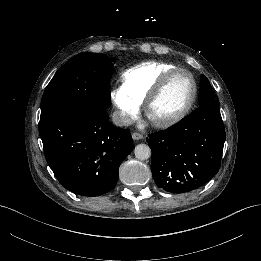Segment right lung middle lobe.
<instances>
[{
    "label": "right lung middle lobe",
    "instance_id": "right-lung-middle-lobe-1",
    "mask_svg": "<svg viewBox=\"0 0 261 261\" xmlns=\"http://www.w3.org/2000/svg\"><path fill=\"white\" fill-rule=\"evenodd\" d=\"M114 61V58L88 52L71 58L46 87L41 101V117L83 107L108 108Z\"/></svg>",
    "mask_w": 261,
    "mask_h": 261
}]
</instances>
